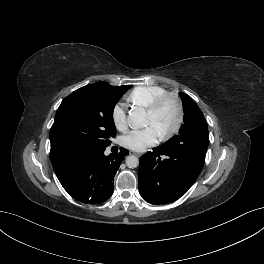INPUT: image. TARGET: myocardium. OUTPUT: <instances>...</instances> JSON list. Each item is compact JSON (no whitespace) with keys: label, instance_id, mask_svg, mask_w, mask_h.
I'll use <instances>...</instances> for the list:
<instances>
[{"label":"myocardium","instance_id":"1","mask_svg":"<svg viewBox=\"0 0 264 264\" xmlns=\"http://www.w3.org/2000/svg\"><path fill=\"white\" fill-rule=\"evenodd\" d=\"M171 100L175 107H176V112H177V118L176 122L173 125L171 129L168 131L160 134L161 139L167 140L176 135L179 130L181 129L183 122H184V107L181 99L179 96L175 93L171 92H166L162 94L161 96L157 97L147 108V113L149 114H155L161 106L166 102Z\"/></svg>","mask_w":264,"mask_h":264}]
</instances>
